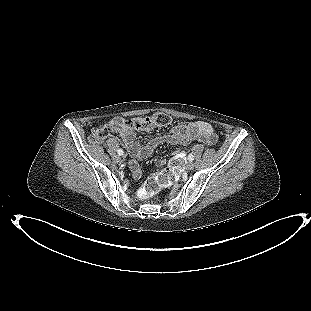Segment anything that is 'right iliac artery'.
<instances>
[{
	"mask_svg": "<svg viewBox=\"0 0 311 311\" xmlns=\"http://www.w3.org/2000/svg\"><path fill=\"white\" fill-rule=\"evenodd\" d=\"M123 153H124V152H123L122 149H119V150H118V154H119V155H123Z\"/></svg>",
	"mask_w": 311,
	"mask_h": 311,
	"instance_id": "right-iliac-artery-1",
	"label": "right iliac artery"
}]
</instances>
